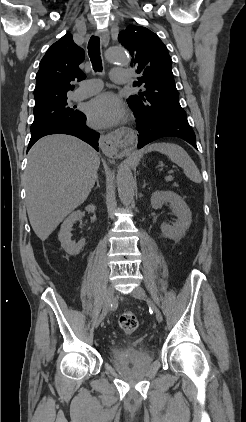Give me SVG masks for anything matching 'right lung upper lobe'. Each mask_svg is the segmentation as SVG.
<instances>
[{
    "instance_id": "1",
    "label": "right lung upper lobe",
    "mask_w": 246,
    "mask_h": 422,
    "mask_svg": "<svg viewBox=\"0 0 246 422\" xmlns=\"http://www.w3.org/2000/svg\"><path fill=\"white\" fill-rule=\"evenodd\" d=\"M84 55V50L74 43L70 33L47 50L36 74L34 109L67 99V92L74 88L70 83L85 78L79 68Z\"/></svg>"
}]
</instances>
